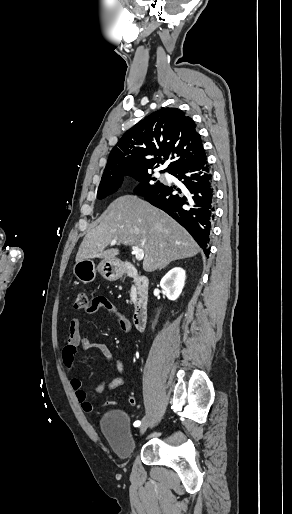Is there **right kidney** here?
I'll return each instance as SVG.
<instances>
[{"label":"right kidney","instance_id":"ca27d5eb","mask_svg":"<svg viewBox=\"0 0 292 514\" xmlns=\"http://www.w3.org/2000/svg\"><path fill=\"white\" fill-rule=\"evenodd\" d=\"M185 284V270L183 268H172L160 282L162 290H165L169 300H177Z\"/></svg>","mask_w":292,"mask_h":514}]
</instances>
